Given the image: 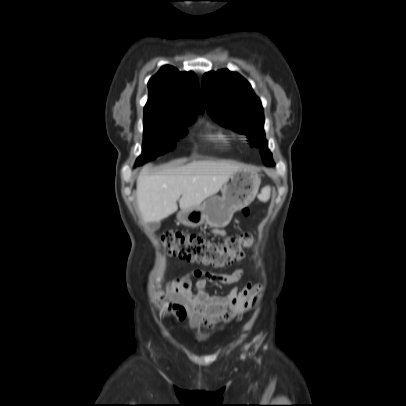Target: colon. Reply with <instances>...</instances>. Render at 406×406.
<instances>
[{
	"instance_id": "5ec220e1",
	"label": "colon",
	"mask_w": 406,
	"mask_h": 406,
	"mask_svg": "<svg viewBox=\"0 0 406 406\" xmlns=\"http://www.w3.org/2000/svg\"><path fill=\"white\" fill-rule=\"evenodd\" d=\"M245 216L251 214L249 208L242 210ZM162 242L168 248L171 257L180 260L223 267L246 257L247 250L252 244V237L248 233L229 237L221 244H215L193 233L169 231L162 235ZM155 298L161 299L158 284L154 282Z\"/></svg>"
}]
</instances>
